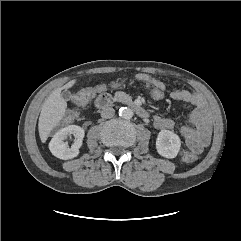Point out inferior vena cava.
Wrapping results in <instances>:
<instances>
[{"mask_svg":"<svg viewBox=\"0 0 241 241\" xmlns=\"http://www.w3.org/2000/svg\"><path fill=\"white\" fill-rule=\"evenodd\" d=\"M100 113L102 118L109 119L114 116L115 110L112 107L108 106L103 108Z\"/></svg>","mask_w":241,"mask_h":241,"instance_id":"obj_1","label":"inferior vena cava"}]
</instances>
